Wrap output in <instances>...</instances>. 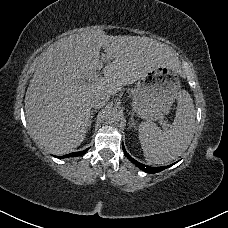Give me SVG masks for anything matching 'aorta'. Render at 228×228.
<instances>
[{
	"instance_id": "762f6f07",
	"label": "aorta",
	"mask_w": 228,
	"mask_h": 228,
	"mask_svg": "<svg viewBox=\"0 0 228 228\" xmlns=\"http://www.w3.org/2000/svg\"><path fill=\"white\" fill-rule=\"evenodd\" d=\"M106 121L109 124H115L119 121V113L116 109H109L106 113Z\"/></svg>"
}]
</instances>
